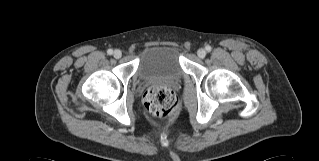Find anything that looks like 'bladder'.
<instances>
[{
    "mask_svg": "<svg viewBox=\"0 0 319 161\" xmlns=\"http://www.w3.org/2000/svg\"><path fill=\"white\" fill-rule=\"evenodd\" d=\"M183 69L180 49L174 44H152L139 57L138 74L141 79L167 78L177 81Z\"/></svg>",
    "mask_w": 319,
    "mask_h": 161,
    "instance_id": "1",
    "label": "bladder"
}]
</instances>
